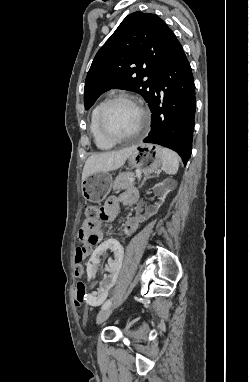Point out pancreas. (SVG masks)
<instances>
[{"label":"pancreas","mask_w":249,"mask_h":382,"mask_svg":"<svg viewBox=\"0 0 249 382\" xmlns=\"http://www.w3.org/2000/svg\"><path fill=\"white\" fill-rule=\"evenodd\" d=\"M134 176L133 172L127 171L119 173L113 182L114 190L129 189L135 191L134 182L129 181L130 178Z\"/></svg>","instance_id":"pancreas-1"}]
</instances>
